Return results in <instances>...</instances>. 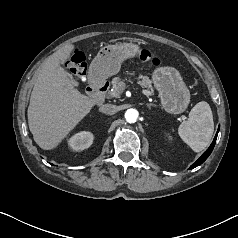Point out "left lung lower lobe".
Listing matches in <instances>:
<instances>
[{
	"label": "left lung lower lobe",
	"mask_w": 238,
	"mask_h": 238,
	"mask_svg": "<svg viewBox=\"0 0 238 238\" xmlns=\"http://www.w3.org/2000/svg\"><path fill=\"white\" fill-rule=\"evenodd\" d=\"M218 131H219V128H218ZM218 131H217L216 136H215L212 144L210 145V147L207 149L206 152L203 153V155L193 165H191V167H190L191 169L201 165L208 158V156L211 154V152L215 146V143H216Z\"/></svg>",
	"instance_id": "left-lung-lower-lobe-1"
}]
</instances>
